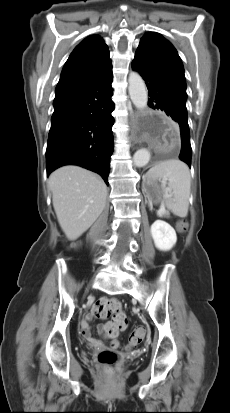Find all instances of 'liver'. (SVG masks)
Here are the masks:
<instances>
[{
  "mask_svg": "<svg viewBox=\"0 0 230 413\" xmlns=\"http://www.w3.org/2000/svg\"><path fill=\"white\" fill-rule=\"evenodd\" d=\"M48 186L58 222L69 240L80 237L105 208L106 184L99 176L79 166L55 170Z\"/></svg>",
  "mask_w": 230,
  "mask_h": 413,
  "instance_id": "liver-1",
  "label": "liver"
}]
</instances>
